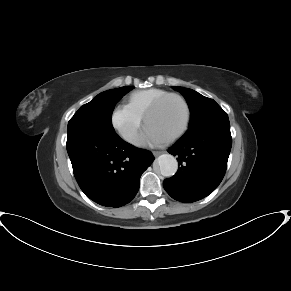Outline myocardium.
<instances>
[{
  "instance_id": "myocardium-1",
  "label": "myocardium",
  "mask_w": 291,
  "mask_h": 291,
  "mask_svg": "<svg viewBox=\"0 0 291 291\" xmlns=\"http://www.w3.org/2000/svg\"><path fill=\"white\" fill-rule=\"evenodd\" d=\"M169 98H176L178 99L183 107H184V111H185V117H184V121L182 123V125L175 131L173 132L171 135H169L165 140L170 141V140H174L176 138H178L179 136H181L189 127L190 124V120H191V110H190V106L187 102V100L180 94L178 93H167L161 97H159L158 99H156L151 105L150 107L146 110L144 116H143V121L146 124L149 117L156 111L158 110L161 105Z\"/></svg>"
}]
</instances>
